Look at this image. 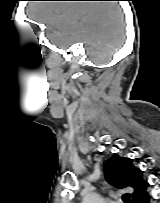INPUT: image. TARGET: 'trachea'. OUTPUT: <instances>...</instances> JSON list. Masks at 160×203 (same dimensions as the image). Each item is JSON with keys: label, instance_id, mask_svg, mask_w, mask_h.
Segmentation results:
<instances>
[{"label": "trachea", "instance_id": "obj_1", "mask_svg": "<svg viewBox=\"0 0 160 203\" xmlns=\"http://www.w3.org/2000/svg\"><path fill=\"white\" fill-rule=\"evenodd\" d=\"M122 200L124 201V203H131V200L128 194H124L122 196Z\"/></svg>", "mask_w": 160, "mask_h": 203}]
</instances>
